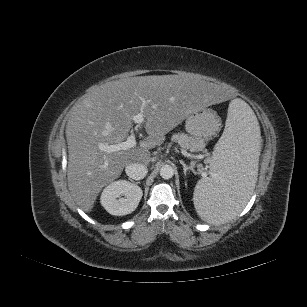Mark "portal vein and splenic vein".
Here are the masks:
<instances>
[{"label":"portal vein and splenic vein","instance_id":"obj_1","mask_svg":"<svg viewBox=\"0 0 307 307\" xmlns=\"http://www.w3.org/2000/svg\"><path fill=\"white\" fill-rule=\"evenodd\" d=\"M132 120L134 121V123H137V124L143 123L144 122L143 113L140 112L136 114L135 116H133ZM135 146H136L135 134H131L127 137V140L124 142H120L118 144H112V145L100 143L98 145V148L101 151H104L106 154H110V153L120 151V150H127ZM185 155H189V154L185 152ZM206 176H207V173L203 172L202 177H206Z\"/></svg>","mask_w":307,"mask_h":307}]
</instances>
